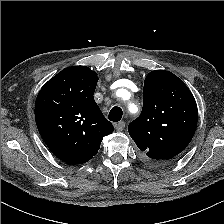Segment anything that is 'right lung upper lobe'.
Returning a JSON list of instances; mask_svg holds the SVG:
<instances>
[{
    "instance_id": "obj_1",
    "label": "right lung upper lobe",
    "mask_w": 224,
    "mask_h": 224,
    "mask_svg": "<svg viewBox=\"0 0 224 224\" xmlns=\"http://www.w3.org/2000/svg\"><path fill=\"white\" fill-rule=\"evenodd\" d=\"M97 73L71 66L51 78L35 102L38 131L60 160L82 164L98 153L104 136L114 131L94 101Z\"/></svg>"
}]
</instances>
